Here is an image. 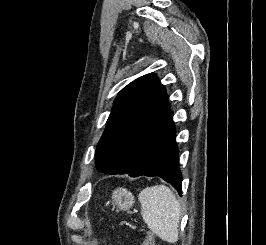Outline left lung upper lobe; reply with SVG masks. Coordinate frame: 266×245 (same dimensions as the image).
Instances as JSON below:
<instances>
[{"label":"left lung upper lobe","instance_id":"5c2ea615","mask_svg":"<svg viewBox=\"0 0 266 245\" xmlns=\"http://www.w3.org/2000/svg\"><path fill=\"white\" fill-rule=\"evenodd\" d=\"M168 110L165 88L154 74L141 76L122 89L97 144L96 168L105 173L125 174L141 139Z\"/></svg>","mask_w":266,"mask_h":245}]
</instances>
